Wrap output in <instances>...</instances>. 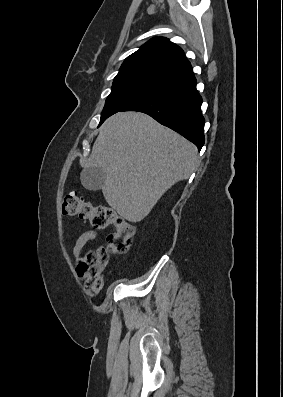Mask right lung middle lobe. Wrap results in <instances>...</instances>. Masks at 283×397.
Segmentation results:
<instances>
[{
  "instance_id": "dd1d6c3e",
  "label": "right lung middle lobe",
  "mask_w": 283,
  "mask_h": 397,
  "mask_svg": "<svg viewBox=\"0 0 283 397\" xmlns=\"http://www.w3.org/2000/svg\"><path fill=\"white\" fill-rule=\"evenodd\" d=\"M166 85V81L142 72L117 74L112 91L106 99L99 126L111 115Z\"/></svg>"
}]
</instances>
